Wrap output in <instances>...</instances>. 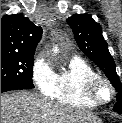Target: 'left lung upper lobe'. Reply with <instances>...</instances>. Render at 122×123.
I'll list each match as a JSON object with an SVG mask.
<instances>
[{"label":"left lung upper lobe","instance_id":"obj_1","mask_svg":"<svg viewBox=\"0 0 122 123\" xmlns=\"http://www.w3.org/2000/svg\"><path fill=\"white\" fill-rule=\"evenodd\" d=\"M67 23L81 51L100 67L117 90V103L113 110L122 113V85L116 73L113 57L109 53L108 44L103 38L100 24L88 14H75L67 19Z\"/></svg>","mask_w":122,"mask_h":123}]
</instances>
